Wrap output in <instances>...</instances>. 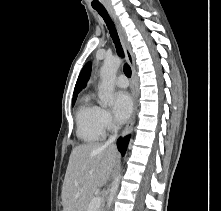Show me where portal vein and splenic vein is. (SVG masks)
I'll list each match as a JSON object with an SVG mask.
<instances>
[{
	"label": "portal vein and splenic vein",
	"mask_w": 221,
	"mask_h": 211,
	"mask_svg": "<svg viewBox=\"0 0 221 211\" xmlns=\"http://www.w3.org/2000/svg\"><path fill=\"white\" fill-rule=\"evenodd\" d=\"M101 204V198L95 197L91 200L88 206V211H97Z\"/></svg>",
	"instance_id": "portal-vein-and-splenic-vein-1"
}]
</instances>
